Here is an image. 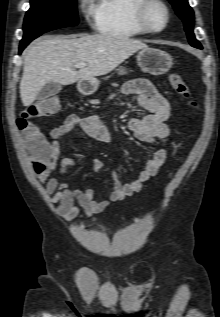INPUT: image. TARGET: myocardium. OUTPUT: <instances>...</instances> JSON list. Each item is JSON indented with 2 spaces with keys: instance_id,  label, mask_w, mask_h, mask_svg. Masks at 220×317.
<instances>
[{
  "instance_id": "obj_1",
  "label": "myocardium",
  "mask_w": 220,
  "mask_h": 317,
  "mask_svg": "<svg viewBox=\"0 0 220 317\" xmlns=\"http://www.w3.org/2000/svg\"><path fill=\"white\" fill-rule=\"evenodd\" d=\"M157 5L162 8L165 14V23L161 28H155L150 23L148 13L151 6ZM135 18L137 23L147 32L160 33L164 31L170 23L171 12L164 0H141L136 6Z\"/></svg>"
}]
</instances>
